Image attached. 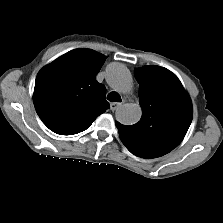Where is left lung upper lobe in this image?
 Masks as SVG:
<instances>
[{"mask_svg":"<svg viewBox=\"0 0 223 223\" xmlns=\"http://www.w3.org/2000/svg\"><path fill=\"white\" fill-rule=\"evenodd\" d=\"M139 83L141 120L124 126L116 122L126 148L142 158L169 153L185 137L193 117L190 97L175 74L159 66L134 70Z\"/></svg>","mask_w":223,"mask_h":223,"instance_id":"obj_1","label":"left lung upper lobe"}]
</instances>
